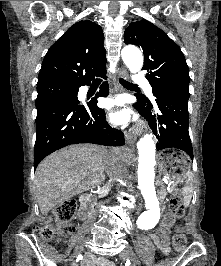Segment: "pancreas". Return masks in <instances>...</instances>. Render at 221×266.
I'll return each mask as SVG.
<instances>
[{
  "label": "pancreas",
  "instance_id": "pancreas-1",
  "mask_svg": "<svg viewBox=\"0 0 221 266\" xmlns=\"http://www.w3.org/2000/svg\"><path fill=\"white\" fill-rule=\"evenodd\" d=\"M173 190H174V186H170L169 189L167 190V192L171 193V192H173Z\"/></svg>",
  "mask_w": 221,
  "mask_h": 266
}]
</instances>
